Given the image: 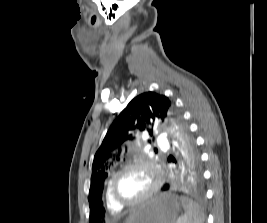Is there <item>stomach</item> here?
Instances as JSON below:
<instances>
[{"instance_id":"1","label":"stomach","mask_w":267,"mask_h":223,"mask_svg":"<svg viewBox=\"0 0 267 223\" xmlns=\"http://www.w3.org/2000/svg\"><path fill=\"white\" fill-rule=\"evenodd\" d=\"M180 209L181 202L176 195L156 194L132 210L125 223H176Z\"/></svg>"}]
</instances>
